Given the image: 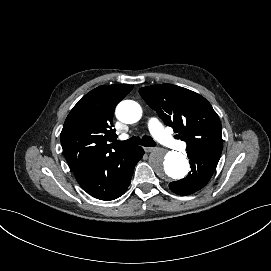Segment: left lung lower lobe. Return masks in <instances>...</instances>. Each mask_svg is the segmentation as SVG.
I'll return each mask as SVG.
<instances>
[{"label":"left lung lower lobe","mask_w":271,"mask_h":271,"mask_svg":"<svg viewBox=\"0 0 271 271\" xmlns=\"http://www.w3.org/2000/svg\"><path fill=\"white\" fill-rule=\"evenodd\" d=\"M187 155L191 171L185 178L169 184L170 190L178 195H189L202 189L212 177L221 156H215L208 150L187 151Z\"/></svg>","instance_id":"left-lung-lower-lobe-1"}]
</instances>
